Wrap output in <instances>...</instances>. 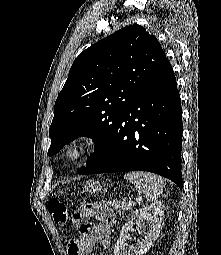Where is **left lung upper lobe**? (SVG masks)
<instances>
[{
  "label": "left lung upper lobe",
  "mask_w": 221,
  "mask_h": 255,
  "mask_svg": "<svg viewBox=\"0 0 221 255\" xmlns=\"http://www.w3.org/2000/svg\"><path fill=\"white\" fill-rule=\"evenodd\" d=\"M165 58L158 40L139 25L126 26L85 49L73 62L55 102L48 155L86 136L95 143L88 165Z\"/></svg>",
  "instance_id": "5c2ea615"
}]
</instances>
